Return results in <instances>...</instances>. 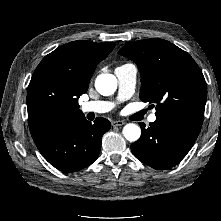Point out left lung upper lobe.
<instances>
[{
  "label": "left lung upper lobe",
  "instance_id": "1",
  "mask_svg": "<svg viewBox=\"0 0 221 221\" xmlns=\"http://www.w3.org/2000/svg\"><path fill=\"white\" fill-rule=\"evenodd\" d=\"M134 61L141 73L140 99L156 105L157 118L202 124L207 86L193 58L159 38L135 41L118 52Z\"/></svg>",
  "mask_w": 221,
  "mask_h": 221
}]
</instances>
